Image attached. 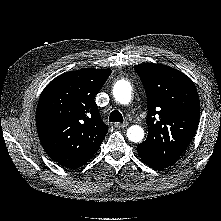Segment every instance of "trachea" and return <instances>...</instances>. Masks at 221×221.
Segmentation results:
<instances>
[{
	"label": "trachea",
	"instance_id": "obj_1",
	"mask_svg": "<svg viewBox=\"0 0 221 221\" xmlns=\"http://www.w3.org/2000/svg\"><path fill=\"white\" fill-rule=\"evenodd\" d=\"M109 122H123V116L118 110H114L110 113Z\"/></svg>",
	"mask_w": 221,
	"mask_h": 221
}]
</instances>
